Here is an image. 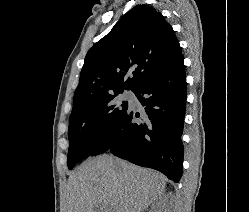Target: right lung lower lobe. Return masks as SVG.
Here are the masks:
<instances>
[{
  "mask_svg": "<svg viewBox=\"0 0 249 212\" xmlns=\"http://www.w3.org/2000/svg\"><path fill=\"white\" fill-rule=\"evenodd\" d=\"M184 57L150 78L134 93L144 108L142 117L128 108L109 131L97 155L110 151L136 165L156 169L170 180L182 175L186 108ZM135 117L141 121L134 122Z\"/></svg>",
  "mask_w": 249,
  "mask_h": 212,
  "instance_id": "right-lung-lower-lobe-1",
  "label": "right lung lower lobe"
}]
</instances>
